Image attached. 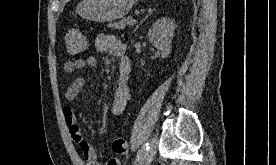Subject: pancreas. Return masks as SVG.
Wrapping results in <instances>:
<instances>
[{
	"label": "pancreas",
	"mask_w": 276,
	"mask_h": 165,
	"mask_svg": "<svg viewBox=\"0 0 276 165\" xmlns=\"http://www.w3.org/2000/svg\"><path fill=\"white\" fill-rule=\"evenodd\" d=\"M130 18L122 19L121 21L110 23L108 27H114L115 29H124L128 25Z\"/></svg>",
	"instance_id": "pancreas-1"
}]
</instances>
